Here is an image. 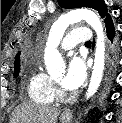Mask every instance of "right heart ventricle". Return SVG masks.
<instances>
[{
	"instance_id": "obj_1",
	"label": "right heart ventricle",
	"mask_w": 122,
	"mask_h": 123,
	"mask_svg": "<svg viewBox=\"0 0 122 123\" xmlns=\"http://www.w3.org/2000/svg\"><path fill=\"white\" fill-rule=\"evenodd\" d=\"M26 90L29 99L37 104H51L55 99L52 78L38 67L31 70Z\"/></svg>"
}]
</instances>
